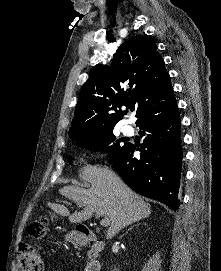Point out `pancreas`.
<instances>
[{"label":"pancreas","mask_w":221,"mask_h":271,"mask_svg":"<svg viewBox=\"0 0 221 271\" xmlns=\"http://www.w3.org/2000/svg\"><path fill=\"white\" fill-rule=\"evenodd\" d=\"M93 255H92V251H88V259H92Z\"/></svg>","instance_id":"pancreas-1"}]
</instances>
